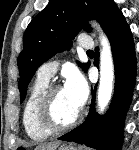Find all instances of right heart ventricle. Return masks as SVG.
I'll return each instance as SVG.
<instances>
[{"instance_id": "1", "label": "right heart ventricle", "mask_w": 139, "mask_h": 150, "mask_svg": "<svg viewBox=\"0 0 139 150\" xmlns=\"http://www.w3.org/2000/svg\"><path fill=\"white\" fill-rule=\"evenodd\" d=\"M48 85L49 80L37 77L24 104L22 123L26 134L33 140H42L51 135V132L42 129L39 126L36 118L39 99Z\"/></svg>"}]
</instances>
